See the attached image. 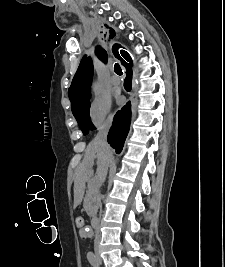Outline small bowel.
Returning <instances> with one entry per match:
<instances>
[{"mask_svg":"<svg viewBox=\"0 0 225 267\" xmlns=\"http://www.w3.org/2000/svg\"><path fill=\"white\" fill-rule=\"evenodd\" d=\"M86 231H88V230H86ZM87 235H88V232H84L83 234H80L82 239H85L87 237Z\"/></svg>","mask_w":225,"mask_h":267,"instance_id":"1","label":"small bowel"}]
</instances>
